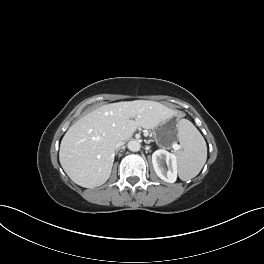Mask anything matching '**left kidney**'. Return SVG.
<instances>
[{
    "mask_svg": "<svg viewBox=\"0 0 264 264\" xmlns=\"http://www.w3.org/2000/svg\"><path fill=\"white\" fill-rule=\"evenodd\" d=\"M164 162L167 168L164 166ZM154 170L159 178L168 183H174L177 179V157L164 149L156 150L152 154Z\"/></svg>",
    "mask_w": 264,
    "mask_h": 264,
    "instance_id": "obj_1",
    "label": "left kidney"
}]
</instances>
